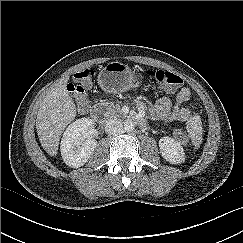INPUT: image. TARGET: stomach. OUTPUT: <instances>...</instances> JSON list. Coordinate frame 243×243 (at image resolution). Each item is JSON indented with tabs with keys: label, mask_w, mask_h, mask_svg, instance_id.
Masks as SVG:
<instances>
[{
	"label": "stomach",
	"mask_w": 243,
	"mask_h": 243,
	"mask_svg": "<svg viewBox=\"0 0 243 243\" xmlns=\"http://www.w3.org/2000/svg\"><path fill=\"white\" fill-rule=\"evenodd\" d=\"M98 84L106 92L120 93L136 87L138 80L128 65L110 62L99 72Z\"/></svg>",
	"instance_id": "0dacf381"
}]
</instances>
